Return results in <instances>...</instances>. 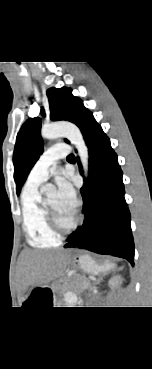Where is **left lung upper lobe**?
Wrapping results in <instances>:
<instances>
[{"label": "left lung upper lobe", "mask_w": 152, "mask_h": 369, "mask_svg": "<svg viewBox=\"0 0 152 369\" xmlns=\"http://www.w3.org/2000/svg\"><path fill=\"white\" fill-rule=\"evenodd\" d=\"M52 121L66 120L76 124L80 130L92 113L85 108L78 97L72 95L70 88H51L47 91ZM41 113L45 116L44 109ZM40 118H30L21 127L14 149L13 163L15 167L14 179L17 195L20 194L31 168L43 152V141L40 135ZM69 143L68 140H65Z\"/></svg>", "instance_id": "left-lung-upper-lobe-1"}]
</instances>
